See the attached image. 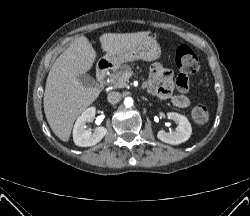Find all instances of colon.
Here are the masks:
<instances>
[{
	"label": "colon",
	"mask_w": 250,
	"mask_h": 216,
	"mask_svg": "<svg viewBox=\"0 0 250 216\" xmlns=\"http://www.w3.org/2000/svg\"><path fill=\"white\" fill-rule=\"evenodd\" d=\"M178 68L185 74H194L199 70V61L193 49L187 45H180L175 54ZM193 120L203 125L209 120V112L205 105L197 104L192 110Z\"/></svg>",
	"instance_id": "obj_1"
}]
</instances>
